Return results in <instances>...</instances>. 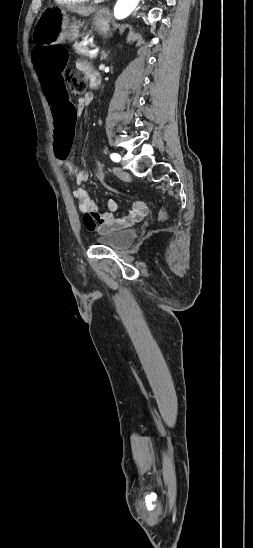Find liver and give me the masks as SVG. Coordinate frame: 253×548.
Masks as SVG:
<instances>
[{"label":"liver","instance_id":"obj_1","mask_svg":"<svg viewBox=\"0 0 253 548\" xmlns=\"http://www.w3.org/2000/svg\"><path fill=\"white\" fill-rule=\"evenodd\" d=\"M71 11L81 16L87 17L95 11V8L86 6H74L71 8Z\"/></svg>","mask_w":253,"mask_h":548}]
</instances>
